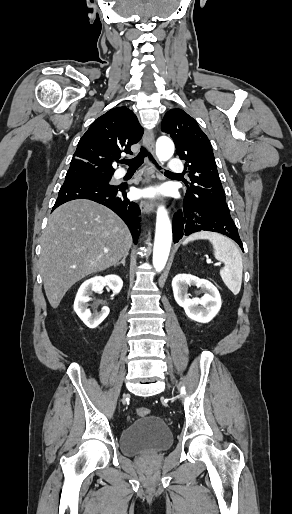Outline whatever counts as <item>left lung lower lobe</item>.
<instances>
[{
    "mask_svg": "<svg viewBox=\"0 0 292 514\" xmlns=\"http://www.w3.org/2000/svg\"><path fill=\"white\" fill-rule=\"evenodd\" d=\"M201 230L224 234L236 241L243 250L242 241L228 206L205 203L198 197L186 194L183 208L173 217V241L177 243L183 235L187 236Z\"/></svg>",
    "mask_w": 292,
    "mask_h": 514,
    "instance_id": "0a47b994",
    "label": "left lung lower lobe"
}]
</instances>
